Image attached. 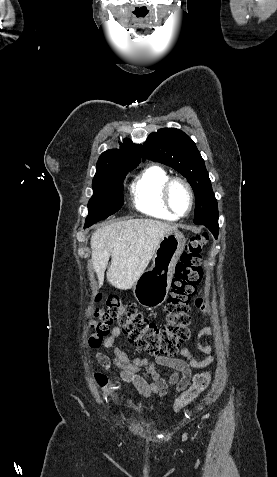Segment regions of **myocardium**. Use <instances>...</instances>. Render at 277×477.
<instances>
[{"instance_id": "1", "label": "myocardium", "mask_w": 277, "mask_h": 477, "mask_svg": "<svg viewBox=\"0 0 277 477\" xmlns=\"http://www.w3.org/2000/svg\"><path fill=\"white\" fill-rule=\"evenodd\" d=\"M176 183L182 184L186 188L189 195V208L185 214L177 213L175 209L173 208L171 200H170L171 188ZM162 198L166 208L178 218H183L188 216L193 210L194 202H195L194 191L192 189L191 184L184 178H181V177L169 178L162 188Z\"/></svg>"}]
</instances>
